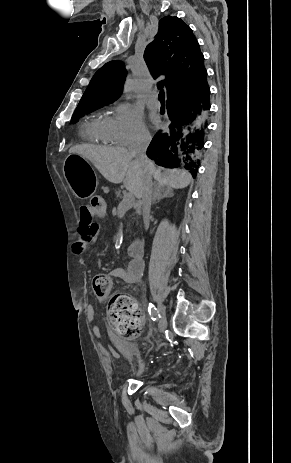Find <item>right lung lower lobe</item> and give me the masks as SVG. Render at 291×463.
<instances>
[{
  "mask_svg": "<svg viewBox=\"0 0 291 463\" xmlns=\"http://www.w3.org/2000/svg\"><path fill=\"white\" fill-rule=\"evenodd\" d=\"M206 78L207 72L197 91L168 98L167 113L171 124L167 131L154 136L147 149L148 157L156 164L167 168L183 167L193 177L200 165L208 125L210 88Z\"/></svg>",
  "mask_w": 291,
  "mask_h": 463,
  "instance_id": "1",
  "label": "right lung lower lobe"
}]
</instances>
